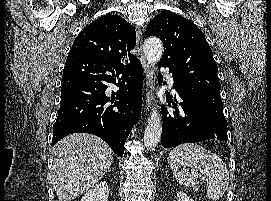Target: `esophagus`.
I'll return each instance as SVG.
<instances>
[{"label":"esophagus","mask_w":271,"mask_h":201,"mask_svg":"<svg viewBox=\"0 0 271 201\" xmlns=\"http://www.w3.org/2000/svg\"><path fill=\"white\" fill-rule=\"evenodd\" d=\"M136 35H137L136 48H137V52H138V58L143 65L144 72L146 75V88H145V94H144L145 95V107L147 110H149L151 103H152L151 89L154 84V77H153V72H152L151 66L146 61L144 54H143V49H142L143 34H142V30L140 27H137Z\"/></svg>","instance_id":"obj_1"}]
</instances>
